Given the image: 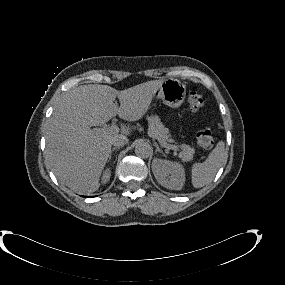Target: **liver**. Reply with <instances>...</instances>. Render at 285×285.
Returning <instances> with one entry per match:
<instances>
[{"label":"liver","mask_w":285,"mask_h":285,"mask_svg":"<svg viewBox=\"0 0 285 285\" xmlns=\"http://www.w3.org/2000/svg\"><path fill=\"white\" fill-rule=\"evenodd\" d=\"M162 80L118 91L108 85H82L57 102L46 131L45 158L63 185L79 194L95 192L111 152L113 139L122 134L92 129L119 115L136 121L147 112ZM116 97L120 107L114 103ZM129 134L128 129L122 131Z\"/></svg>","instance_id":"liver-1"}]
</instances>
